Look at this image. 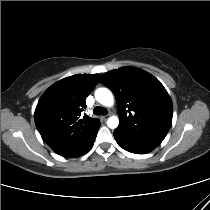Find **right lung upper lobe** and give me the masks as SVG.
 <instances>
[{
	"label": "right lung upper lobe",
	"mask_w": 210,
	"mask_h": 210,
	"mask_svg": "<svg viewBox=\"0 0 210 210\" xmlns=\"http://www.w3.org/2000/svg\"><path fill=\"white\" fill-rule=\"evenodd\" d=\"M99 79L98 74H78L54 83L38 101L34 113L36 128L44 142L57 154L68 157L90 142L101 125L82 114L86 97Z\"/></svg>",
	"instance_id": "1"
}]
</instances>
